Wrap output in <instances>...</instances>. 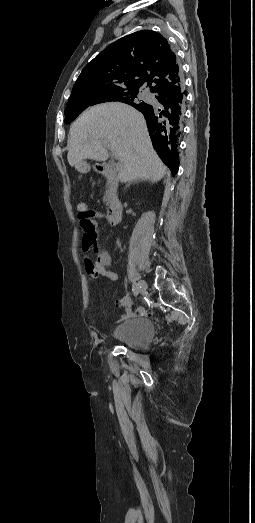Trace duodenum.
<instances>
[{"label":"duodenum","mask_w":255,"mask_h":523,"mask_svg":"<svg viewBox=\"0 0 255 523\" xmlns=\"http://www.w3.org/2000/svg\"><path fill=\"white\" fill-rule=\"evenodd\" d=\"M96 170L104 175L109 182V198L107 208V220L110 225H117L121 221L123 207L116 194V167L113 163H98L96 164Z\"/></svg>","instance_id":"410a0bca"}]
</instances>
